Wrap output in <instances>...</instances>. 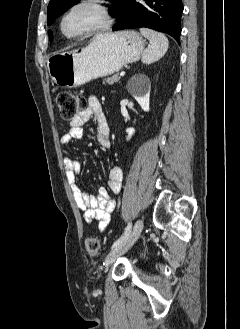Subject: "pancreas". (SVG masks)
I'll return each instance as SVG.
<instances>
[{
  "mask_svg": "<svg viewBox=\"0 0 240 329\" xmlns=\"http://www.w3.org/2000/svg\"><path fill=\"white\" fill-rule=\"evenodd\" d=\"M119 79H120L119 75L118 74H114L111 77L105 78L104 81H103V84H110V85H112V84L118 82Z\"/></svg>",
  "mask_w": 240,
  "mask_h": 329,
  "instance_id": "cf45deb5",
  "label": "pancreas"
}]
</instances>
